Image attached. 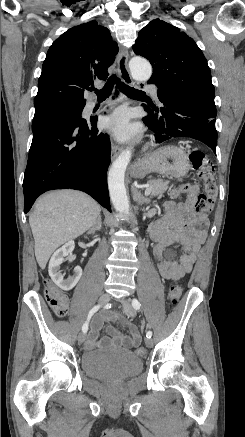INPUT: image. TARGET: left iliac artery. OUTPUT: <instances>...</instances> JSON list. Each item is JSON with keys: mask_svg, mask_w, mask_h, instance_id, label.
Instances as JSON below:
<instances>
[{"mask_svg": "<svg viewBox=\"0 0 245 437\" xmlns=\"http://www.w3.org/2000/svg\"><path fill=\"white\" fill-rule=\"evenodd\" d=\"M132 306L134 307L135 310H139L140 307H141V304H140V302H139L137 299H133V300H132ZM151 336H152V332H151V331H148V332L146 333V337H147V338H151Z\"/></svg>", "mask_w": 245, "mask_h": 437, "instance_id": "left-iliac-artery-1", "label": "left iliac artery"}]
</instances>
